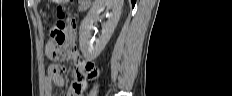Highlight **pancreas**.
Masks as SVG:
<instances>
[{"label":"pancreas","instance_id":"cf45deb5","mask_svg":"<svg viewBox=\"0 0 232 96\" xmlns=\"http://www.w3.org/2000/svg\"><path fill=\"white\" fill-rule=\"evenodd\" d=\"M90 4H80L79 11H85Z\"/></svg>","mask_w":232,"mask_h":96}]
</instances>
